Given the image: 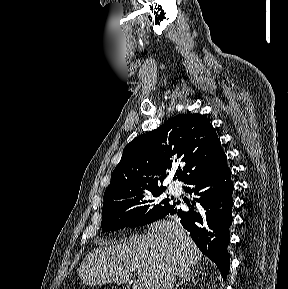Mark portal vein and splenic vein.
<instances>
[{
  "label": "portal vein and splenic vein",
  "instance_id": "obj_1",
  "mask_svg": "<svg viewBox=\"0 0 288 289\" xmlns=\"http://www.w3.org/2000/svg\"><path fill=\"white\" fill-rule=\"evenodd\" d=\"M140 287H141V284L139 283V281L137 280H135L134 282H133V285H132V288L133 289H140Z\"/></svg>",
  "mask_w": 288,
  "mask_h": 289
}]
</instances>
